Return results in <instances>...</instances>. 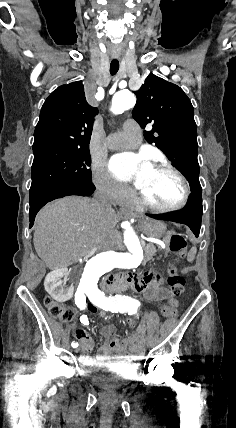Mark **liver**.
Returning <instances> with one entry per match:
<instances>
[{
  "mask_svg": "<svg viewBox=\"0 0 236 428\" xmlns=\"http://www.w3.org/2000/svg\"><path fill=\"white\" fill-rule=\"evenodd\" d=\"M114 210L99 208L96 200L67 196L44 206L35 220L34 248L47 268H66L95 248L112 250L116 244Z\"/></svg>",
  "mask_w": 236,
  "mask_h": 428,
  "instance_id": "obj_1",
  "label": "liver"
}]
</instances>
